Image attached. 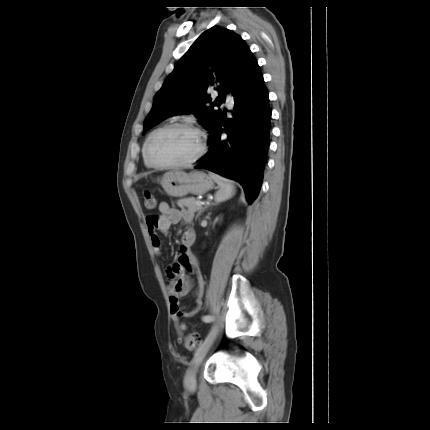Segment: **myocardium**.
<instances>
[{"label":"myocardium","mask_w":430,"mask_h":430,"mask_svg":"<svg viewBox=\"0 0 430 430\" xmlns=\"http://www.w3.org/2000/svg\"><path fill=\"white\" fill-rule=\"evenodd\" d=\"M175 128H184V129H188L191 130L195 133L198 134L199 138H200V147L198 152L190 159L182 161V162H178V163H169V164H162L159 163L157 161H155L152 156H151V145L152 142L154 141V139L156 137H158L160 134L171 130V129H175ZM207 150V137L206 134L203 132V130L201 128H199L198 126L190 123V122H186V121H178V122H172L169 124H166L160 128H158L156 131H154L148 138V140L146 141L145 144V156L147 161L155 168L158 169H176V168H183V167H187L190 166L194 163H196L197 161H199L204 154L206 153Z\"/></svg>","instance_id":"f54148a6"}]
</instances>
